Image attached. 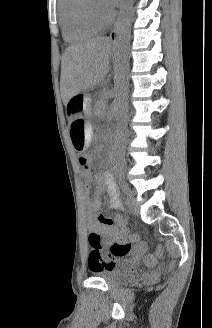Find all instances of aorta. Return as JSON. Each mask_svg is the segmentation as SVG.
Instances as JSON below:
<instances>
[{
    "instance_id": "obj_1",
    "label": "aorta",
    "mask_w": 212,
    "mask_h": 328,
    "mask_svg": "<svg viewBox=\"0 0 212 328\" xmlns=\"http://www.w3.org/2000/svg\"><path fill=\"white\" fill-rule=\"evenodd\" d=\"M134 0H122L120 8V23L116 38V67L114 78L115 89V120H116V143L122 145L126 137V126L128 118V73H129V44L131 25L133 19ZM116 167L112 169V176L116 179L123 176L120 167L121 154L117 152L114 156Z\"/></svg>"
}]
</instances>
